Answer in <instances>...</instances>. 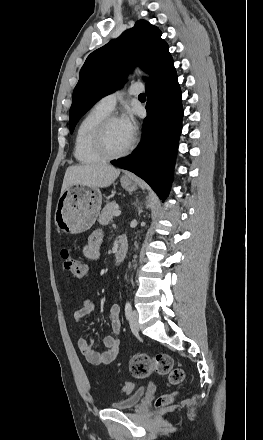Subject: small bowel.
<instances>
[{
  "label": "small bowel",
  "instance_id": "c3829d8e",
  "mask_svg": "<svg viewBox=\"0 0 263 440\" xmlns=\"http://www.w3.org/2000/svg\"><path fill=\"white\" fill-rule=\"evenodd\" d=\"M104 241L102 231H94L88 238L83 247V254L89 260H97L100 256L101 247ZM95 310V303L91 298H85L82 306L75 313V320L81 322L91 317ZM120 306L117 303L112 304L109 311V320L112 335L105 336L103 339L104 349L96 350L94 348L93 336L89 333L78 339V347L87 361L93 365L111 363L119 352L120 342L118 335L121 331V322L119 319Z\"/></svg>",
  "mask_w": 263,
  "mask_h": 440
}]
</instances>
